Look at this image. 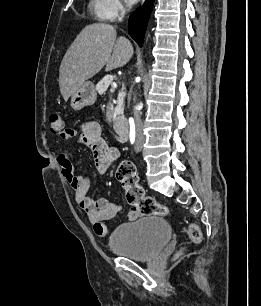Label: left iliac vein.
Returning <instances> with one entry per match:
<instances>
[{
  "label": "left iliac vein",
  "instance_id": "1",
  "mask_svg": "<svg viewBox=\"0 0 261 306\" xmlns=\"http://www.w3.org/2000/svg\"><path fill=\"white\" fill-rule=\"evenodd\" d=\"M141 148H142V146H141V141H140V140H137V142H136V151H137V152H140V151H141Z\"/></svg>",
  "mask_w": 261,
  "mask_h": 306
}]
</instances>
